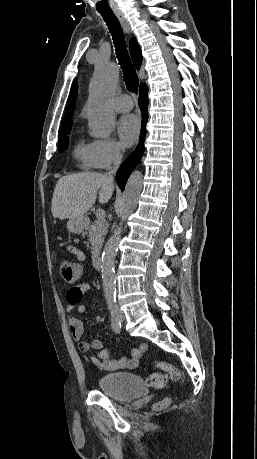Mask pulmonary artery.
<instances>
[{"instance_id":"obj_1","label":"pulmonary artery","mask_w":257,"mask_h":459,"mask_svg":"<svg viewBox=\"0 0 257 459\" xmlns=\"http://www.w3.org/2000/svg\"><path fill=\"white\" fill-rule=\"evenodd\" d=\"M113 108L118 112H126L132 109L133 101L127 94L116 97L112 103Z\"/></svg>"}]
</instances>
